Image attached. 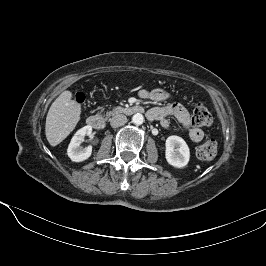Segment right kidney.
Returning a JSON list of instances; mask_svg holds the SVG:
<instances>
[{"label": "right kidney", "mask_w": 266, "mask_h": 266, "mask_svg": "<svg viewBox=\"0 0 266 266\" xmlns=\"http://www.w3.org/2000/svg\"><path fill=\"white\" fill-rule=\"evenodd\" d=\"M92 127L90 125L79 129L71 139L67 149L68 157L74 162H82L88 159L92 154V146L82 148L80 144L84 141L85 136H91Z\"/></svg>", "instance_id": "1"}]
</instances>
